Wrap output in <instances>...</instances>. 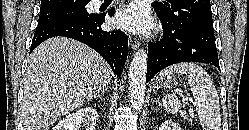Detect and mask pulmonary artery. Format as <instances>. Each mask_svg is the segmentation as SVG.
<instances>
[{
  "label": "pulmonary artery",
  "instance_id": "1",
  "mask_svg": "<svg viewBox=\"0 0 249 130\" xmlns=\"http://www.w3.org/2000/svg\"><path fill=\"white\" fill-rule=\"evenodd\" d=\"M102 2L103 0H96V5L99 6Z\"/></svg>",
  "mask_w": 249,
  "mask_h": 130
}]
</instances>
